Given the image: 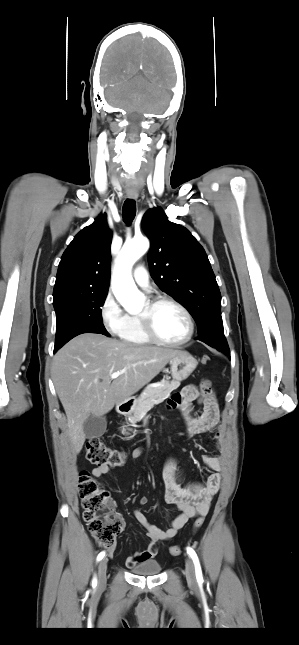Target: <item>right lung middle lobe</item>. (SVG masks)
I'll return each instance as SVG.
<instances>
[{
	"label": "right lung middle lobe",
	"mask_w": 299,
	"mask_h": 645,
	"mask_svg": "<svg viewBox=\"0 0 299 645\" xmlns=\"http://www.w3.org/2000/svg\"><path fill=\"white\" fill-rule=\"evenodd\" d=\"M106 295L107 292L67 294L53 302L56 312L55 348L82 333L110 336L103 325L100 309Z\"/></svg>",
	"instance_id": "1"
}]
</instances>
